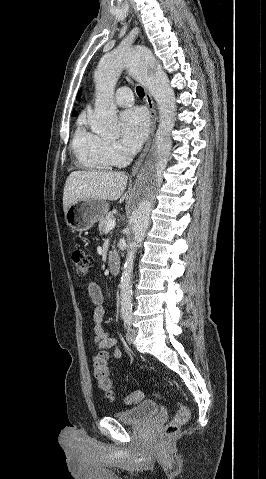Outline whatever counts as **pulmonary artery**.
I'll return each instance as SVG.
<instances>
[{"label": "pulmonary artery", "mask_w": 266, "mask_h": 479, "mask_svg": "<svg viewBox=\"0 0 266 479\" xmlns=\"http://www.w3.org/2000/svg\"><path fill=\"white\" fill-rule=\"evenodd\" d=\"M115 102L119 106L128 107L133 104V92L129 87H121L115 95Z\"/></svg>", "instance_id": "e3ab8cb5"}]
</instances>
